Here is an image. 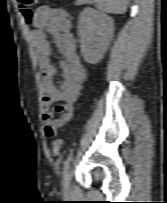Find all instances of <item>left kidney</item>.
<instances>
[{
    "mask_svg": "<svg viewBox=\"0 0 167 203\" xmlns=\"http://www.w3.org/2000/svg\"><path fill=\"white\" fill-rule=\"evenodd\" d=\"M113 19L94 9L87 8L78 24L81 54L89 64H96L103 57L114 32Z\"/></svg>",
    "mask_w": 167,
    "mask_h": 203,
    "instance_id": "obj_1",
    "label": "left kidney"
}]
</instances>
